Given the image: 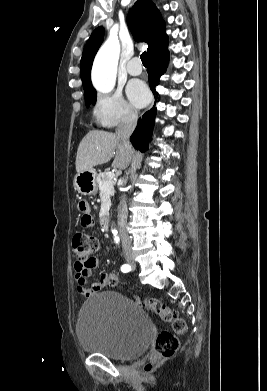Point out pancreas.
I'll return each instance as SVG.
<instances>
[{
  "instance_id": "pancreas-1",
  "label": "pancreas",
  "mask_w": 267,
  "mask_h": 391,
  "mask_svg": "<svg viewBox=\"0 0 267 391\" xmlns=\"http://www.w3.org/2000/svg\"><path fill=\"white\" fill-rule=\"evenodd\" d=\"M96 182H97V185H98V187H99L101 192H103L104 186H107L106 193L109 196L110 195H114V193H115V188H114L115 182H114L113 178L107 176L106 173L100 172L97 175V177H96Z\"/></svg>"
}]
</instances>
